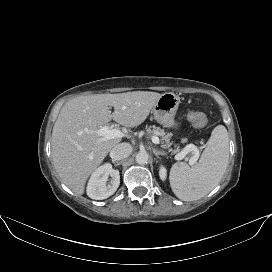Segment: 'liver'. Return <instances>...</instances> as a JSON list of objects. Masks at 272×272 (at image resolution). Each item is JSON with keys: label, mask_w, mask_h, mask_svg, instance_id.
<instances>
[{"label": "liver", "mask_w": 272, "mask_h": 272, "mask_svg": "<svg viewBox=\"0 0 272 272\" xmlns=\"http://www.w3.org/2000/svg\"><path fill=\"white\" fill-rule=\"evenodd\" d=\"M161 94L133 91L79 96L61 109L52 131L54 167L73 192L82 195L88 177L99 167L121 138L102 139L86 130H97L112 119L125 127L145 121ZM109 106L114 107L111 113Z\"/></svg>", "instance_id": "obj_1"}]
</instances>
